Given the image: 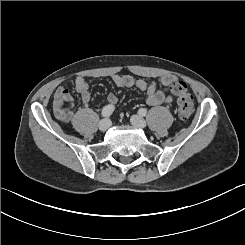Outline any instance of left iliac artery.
Returning a JSON list of instances; mask_svg holds the SVG:
<instances>
[{"label":"left iliac artery","instance_id":"1","mask_svg":"<svg viewBox=\"0 0 245 245\" xmlns=\"http://www.w3.org/2000/svg\"><path fill=\"white\" fill-rule=\"evenodd\" d=\"M138 113H139L141 116H145V115L147 114V110L144 109V108H140V109L138 110Z\"/></svg>","mask_w":245,"mask_h":245}]
</instances>
